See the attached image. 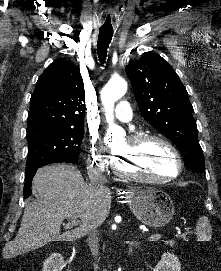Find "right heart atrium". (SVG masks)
<instances>
[{"label": "right heart atrium", "instance_id": "1", "mask_svg": "<svg viewBox=\"0 0 221 271\" xmlns=\"http://www.w3.org/2000/svg\"><path fill=\"white\" fill-rule=\"evenodd\" d=\"M91 159L99 162H92V167H107V162H100L102 159H110V154H102L100 151H90Z\"/></svg>", "mask_w": 221, "mask_h": 271}]
</instances>
